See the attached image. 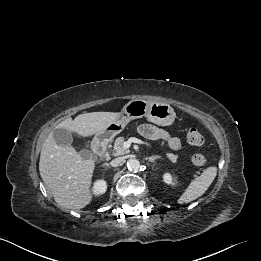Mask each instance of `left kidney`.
<instances>
[{
    "mask_svg": "<svg viewBox=\"0 0 261 261\" xmlns=\"http://www.w3.org/2000/svg\"><path fill=\"white\" fill-rule=\"evenodd\" d=\"M163 180H164V182L167 183V184H173V178H172V176H171L170 173H165V174L163 175Z\"/></svg>",
    "mask_w": 261,
    "mask_h": 261,
    "instance_id": "obj_1",
    "label": "left kidney"
}]
</instances>
